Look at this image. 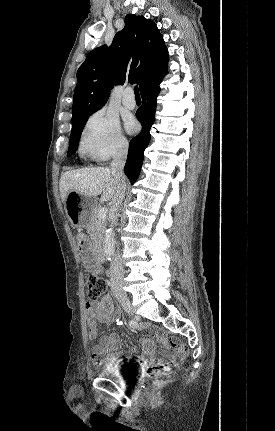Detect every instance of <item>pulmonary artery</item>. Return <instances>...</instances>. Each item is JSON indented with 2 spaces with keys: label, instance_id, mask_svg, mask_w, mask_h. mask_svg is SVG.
Segmentation results:
<instances>
[{
  "label": "pulmonary artery",
  "instance_id": "pulmonary-artery-1",
  "mask_svg": "<svg viewBox=\"0 0 275 431\" xmlns=\"http://www.w3.org/2000/svg\"><path fill=\"white\" fill-rule=\"evenodd\" d=\"M123 105L128 108V109H133L136 106V101L135 98L133 96V91L130 88H127L124 91V95H123Z\"/></svg>",
  "mask_w": 275,
  "mask_h": 431
}]
</instances>
